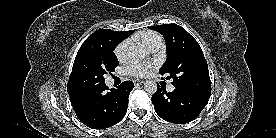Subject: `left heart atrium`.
<instances>
[{"label":"left heart atrium","mask_w":276,"mask_h":138,"mask_svg":"<svg viewBox=\"0 0 276 138\" xmlns=\"http://www.w3.org/2000/svg\"><path fill=\"white\" fill-rule=\"evenodd\" d=\"M152 70V65L147 63H132L128 66V73L137 77H144Z\"/></svg>","instance_id":"left-heart-atrium-1"}]
</instances>
